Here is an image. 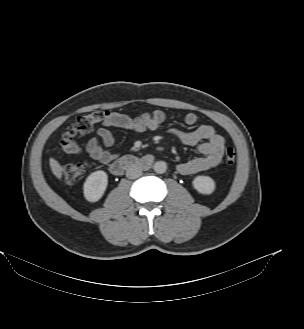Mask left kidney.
Returning <instances> with one entry per match:
<instances>
[{
  "instance_id": "obj_1",
  "label": "left kidney",
  "mask_w": 304,
  "mask_h": 329,
  "mask_svg": "<svg viewBox=\"0 0 304 329\" xmlns=\"http://www.w3.org/2000/svg\"><path fill=\"white\" fill-rule=\"evenodd\" d=\"M193 187L201 194H211L215 190V182L209 176H197L194 178Z\"/></svg>"
}]
</instances>
